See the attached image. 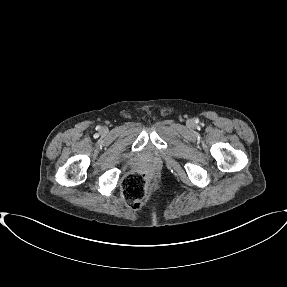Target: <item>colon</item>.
Wrapping results in <instances>:
<instances>
[{"mask_svg":"<svg viewBox=\"0 0 287 287\" xmlns=\"http://www.w3.org/2000/svg\"><path fill=\"white\" fill-rule=\"evenodd\" d=\"M148 176L143 172L128 175L122 183V196L126 204L132 208H139L146 196Z\"/></svg>","mask_w":287,"mask_h":287,"instance_id":"5ec220e1","label":"colon"}]
</instances>
